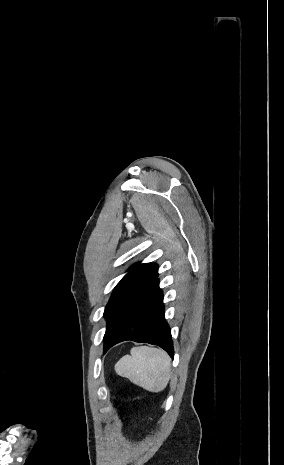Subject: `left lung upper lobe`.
I'll return each instance as SVG.
<instances>
[{
    "mask_svg": "<svg viewBox=\"0 0 284 465\" xmlns=\"http://www.w3.org/2000/svg\"><path fill=\"white\" fill-rule=\"evenodd\" d=\"M158 277V266L154 263L135 264L114 288L105 308L107 328L104 338L121 310L141 291Z\"/></svg>",
    "mask_w": 284,
    "mask_h": 465,
    "instance_id": "1",
    "label": "left lung upper lobe"
}]
</instances>
